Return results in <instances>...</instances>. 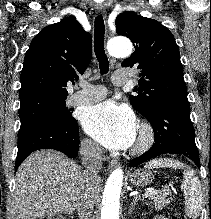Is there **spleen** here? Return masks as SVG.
<instances>
[{
	"instance_id": "1",
	"label": "spleen",
	"mask_w": 211,
	"mask_h": 219,
	"mask_svg": "<svg viewBox=\"0 0 211 219\" xmlns=\"http://www.w3.org/2000/svg\"><path fill=\"white\" fill-rule=\"evenodd\" d=\"M167 167L184 170L181 190L186 200L185 212L188 217L196 219L200 215L203 204V191L198 176L195 171L186 164L170 158L154 159L145 165V168L149 169Z\"/></svg>"
}]
</instances>
